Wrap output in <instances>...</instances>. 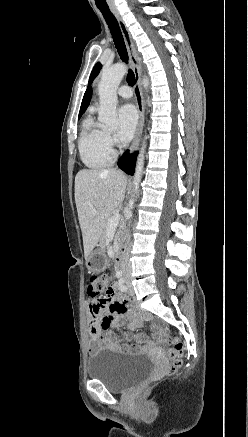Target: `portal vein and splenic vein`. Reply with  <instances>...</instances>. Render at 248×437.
Segmentation results:
<instances>
[{"label": "portal vein and splenic vein", "mask_w": 248, "mask_h": 437, "mask_svg": "<svg viewBox=\"0 0 248 437\" xmlns=\"http://www.w3.org/2000/svg\"><path fill=\"white\" fill-rule=\"evenodd\" d=\"M119 221H120V214H115L113 217H111V218L108 220V226H107V229H108V230L115 229V228L118 226Z\"/></svg>", "instance_id": "18ae733b"}]
</instances>
